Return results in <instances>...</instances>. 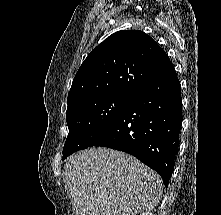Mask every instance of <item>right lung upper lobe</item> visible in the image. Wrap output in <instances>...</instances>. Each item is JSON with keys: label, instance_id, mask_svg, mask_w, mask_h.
Masks as SVG:
<instances>
[{"label": "right lung upper lobe", "instance_id": "1", "mask_svg": "<svg viewBox=\"0 0 221 215\" xmlns=\"http://www.w3.org/2000/svg\"><path fill=\"white\" fill-rule=\"evenodd\" d=\"M172 67L165 51L146 33L116 32L95 47L80 66L68 106L102 95L132 96Z\"/></svg>", "mask_w": 221, "mask_h": 215}]
</instances>
